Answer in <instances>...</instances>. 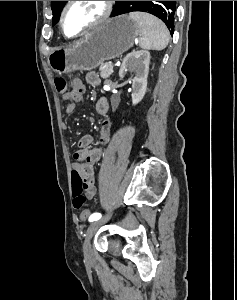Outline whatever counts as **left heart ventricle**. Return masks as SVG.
I'll return each instance as SVG.
<instances>
[{"label": "left heart ventricle", "instance_id": "b2bd125f", "mask_svg": "<svg viewBox=\"0 0 237 300\" xmlns=\"http://www.w3.org/2000/svg\"><path fill=\"white\" fill-rule=\"evenodd\" d=\"M103 10L102 1H75L68 9L64 28L68 35H75L96 20Z\"/></svg>", "mask_w": 237, "mask_h": 300}]
</instances>
